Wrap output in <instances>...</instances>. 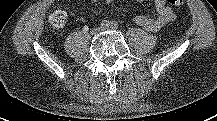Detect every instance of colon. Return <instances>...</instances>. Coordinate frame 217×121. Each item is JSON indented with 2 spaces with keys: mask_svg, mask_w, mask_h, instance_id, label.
I'll use <instances>...</instances> for the list:
<instances>
[{
  "mask_svg": "<svg viewBox=\"0 0 217 121\" xmlns=\"http://www.w3.org/2000/svg\"><path fill=\"white\" fill-rule=\"evenodd\" d=\"M169 4L173 6H181L184 0H167ZM49 24L56 31H63L66 26L67 13L64 9L54 10L48 17Z\"/></svg>",
  "mask_w": 217,
  "mask_h": 121,
  "instance_id": "colon-1",
  "label": "colon"
}]
</instances>
